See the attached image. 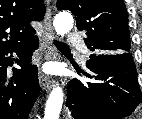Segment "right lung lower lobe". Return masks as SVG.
Masks as SVG:
<instances>
[{
	"mask_svg": "<svg viewBox=\"0 0 142 119\" xmlns=\"http://www.w3.org/2000/svg\"><path fill=\"white\" fill-rule=\"evenodd\" d=\"M38 48V38L33 36L19 46L0 51V119H27L40 91L37 66L31 56ZM12 53L20 58L21 69H13L14 76L7 83V67L13 65Z\"/></svg>",
	"mask_w": 142,
	"mask_h": 119,
	"instance_id": "98d812e1",
	"label": "right lung lower lobe"
}]
</instances>
